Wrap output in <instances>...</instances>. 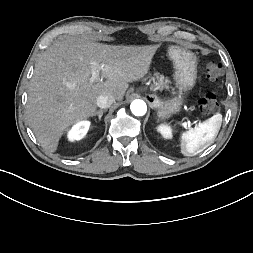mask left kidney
<instances>
[{"instance_id": "1", "label": "left kidney", "mask_w": 253, "mask_h": 253, "mask_svg": "<svg viewBox=\"0 0 253 253\" xmlns=\"http://www.w3.org/2000/svg\"><path fill=\"white\" fill-rule=\"evenodd\" d=\"M157 130L162 134V136L166 139H169L172 137V131H171V128L170 126L168 125H160L158 126Z\"/></svg>"}]
</instances>
